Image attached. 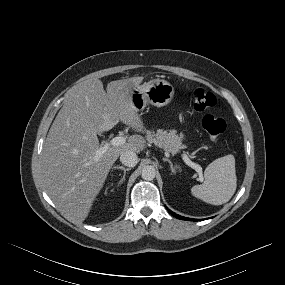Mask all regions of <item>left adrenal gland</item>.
Segmentation results:
<instances>
[{"mask_svg":"<svg viewBox=\"0 0 285 285\" xmlns=\"http://www.w3.org/2000/svg\"><path fill=\"white\" fill-rule=\"evenodd\" d=\"M163 160H164V161H167V162L169 163L170 169H171V171L174 173V172H175V167H174L173 163L171 162V160L168 159V158H163Z\"/></svg>","mask_w":285,"mask_h":285,"instance_id":"1","label":"left adrenal gland"}]
</instances>
